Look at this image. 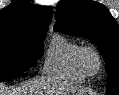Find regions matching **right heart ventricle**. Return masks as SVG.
I'll return each instance as SVG.
<instances>
[{"instance_id": "right-heart-ventricle-1", "label": "right heart ventricle", "mask_w": 119, "mask_h": 95, "mask_svg": "<svg viewBox=\"0 0 119 95\" xmlns=\"http://www.w3.org/2000/svg\"><path fill=\"white\" fill-rule=\"evenodd\" d=\"M81 44L63 35H55L47 50L43 72L51 77L81 82L87 74L81 69L78 54Z\"/></svg>"}]
</instances>
